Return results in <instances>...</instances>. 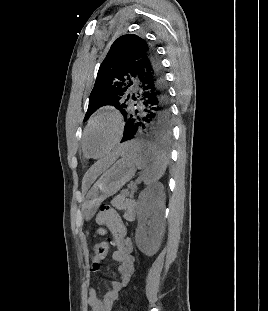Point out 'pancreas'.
Returning <instances> with one entry per match:
<instances>
[{
  "label": "pancreas",
  "instance_id": "cf45deb5",
  "mask_svg": "<svg viewBox=\"0 0 268 311\" xmlns=\"http://www.w3.org/2000/svg\"><path fill=\"white\" fill-rule=\"evenodd\" d=\"M127 195H124L121 197V209L125 211V218L130 219L133 217L134 213H135V206H136V202L132 199H128L125 198Z\"/></svg>",
  "mask_w": 268,
  "mask_h": 311
}]
</instances>
